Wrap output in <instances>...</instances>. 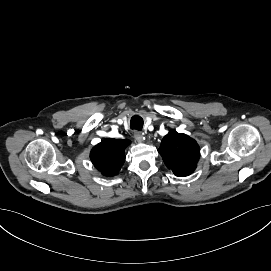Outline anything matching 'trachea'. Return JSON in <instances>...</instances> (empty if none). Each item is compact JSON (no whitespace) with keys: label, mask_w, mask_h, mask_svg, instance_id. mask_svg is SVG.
<instances>
[{"label":"trachea","mask_w":271,"mask_h":271,"mask_svg":"<svg viewBox=\"0 0 271 271\" xmlns=\"http://www.w3.org/2000/svg\"><path fill=\"white\" fill-rule=\"evenodd\" d=\"M130 128L141 131L143 128V119L139 116L132 117L130 121Z\"/></svg>","instance_id":"1"}]
</instances>
